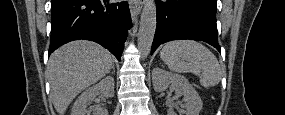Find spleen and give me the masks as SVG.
I'll use <instances>...</instances> for the list:
<instances>
[{
    "label": "spleen",
    "mask_w": 285,
    "mask_h": 115,
    "mask_svg": "<svg viewBox=\"0 0 285 115\" xmlns=\"http://www.w3.org/2000/svg\"><path fill=\"white\" fill-rule=\"evenodd\" d=\"M160 57L173 72H191L199 76L204 88L216 86L222 79L221 66L216 56L194 40L168 42L162 48Z\"/></svg>",
    "instance_id": "1"
}]
</instances>
